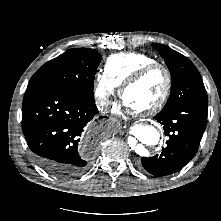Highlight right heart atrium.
<instances>
[{"instance_id":"right-heart-atrium-1","label":"right heart atrium","mask_w":221,"mask_h":221,"mask_svg":"<svg viewBox=\"0 0 221 221\" xmlns=\"http://www.w3.org/2000/svg\"><path fill=\"white\" fill-rule=\"evenodd\" d=\"M117 83L106 72L98 73L95 79L94 95L99 108L105 110L118 89Z\"/></svg>"}]
</instances>
